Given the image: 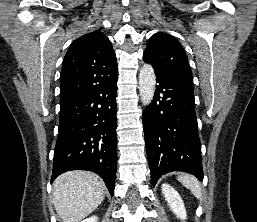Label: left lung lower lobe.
I'll return each instance as SVG.
<instances>
[{"label":"left lung lower lobe","mask_w":257,"mask_h":222,"mask_svg":"<svg viewBox=\"0 0 257 222\" xmlns=\"http://www.w3.org/2000/svg\"><path fill=\"white\" fill-rule=\"evenodd\" d=\"M152 103L143 113V128L153 186L171 171L203 180L201 143L195 114L194 87L155 70Z\"/></svg>","instance_id":"0a47b994"}]
</instances>
